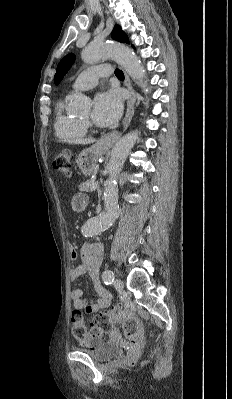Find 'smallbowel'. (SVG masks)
Masks as SVG:
<instances>
[{"mask_svg":"<svg viewBox=\"0 0 232 399\" xmlns=\"http://www.w3.org/2000/svg\"><path fill=\"white\" fill-rule=\"evenodd\" d=\"M88 196L85 193H75L71 199V207L73 210H82L87 206ZM103 240L97 238L93 244L85 245L80 249H77L73 245H69V258L71 260L80 259L81 263L69 274V283L71 285L76 284L79 277L84 273H88L92 287L97 295V300L93 304L88 302L82 297L79 290L70 291V299L73 302V306L77 309H88L90 311H96L101 308H107L110 304L109 291L100 285L98 271L103 261Z\"/></svg>","mask_w":232,"mask_h":399,"instance_id":"obj_1","label":"small bowel"}]
</instances>
